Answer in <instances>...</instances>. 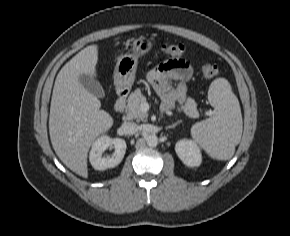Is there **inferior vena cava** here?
Wrapping results in <instances>:
<instances>
[{
    "label": "inferior vena cava",
    "mask_w": 290,
    "mask_h": 236,
    "mask_svg": "<svg viewBox=\"0 0 290 236\" xmlns=\"http://www.w3.org/2000/svg\"><path fill=\"white\" fill-rule=\"evenodd\" d=\"M121 129L124 134L133 135L138 131V125L134 122H124Z\"/></svg>",
    "instance_id": "1"
}]
</instances>
